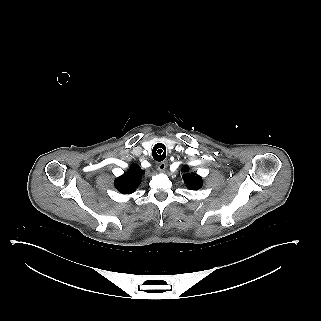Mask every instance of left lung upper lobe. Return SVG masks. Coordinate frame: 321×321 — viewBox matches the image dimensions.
<instances>
[{
    "label": "left lung upper lobe",
    "mask_w": 321,
    "mask_h": 321,
    "mask_svg": "<svg viewBox=\"0 0 321 321\" xmlns=\"http://www.w3.org/2000/svg\"><path fill=\"white\" fill-rule=\"evenodd\" d=\"M183 170L187 172L189 170V168L187 166H185L183 168ZM183 178H184L187 188H189L190 190H198L202 187L201 177L198 175H195L194 173L184 174Z\"/></svg>",
    "instance_id": "1"
}]
</instances>
